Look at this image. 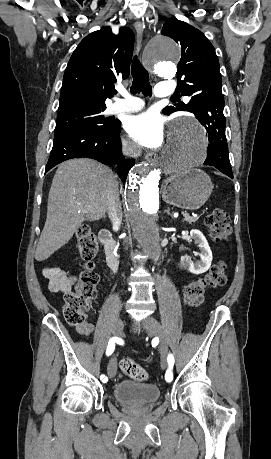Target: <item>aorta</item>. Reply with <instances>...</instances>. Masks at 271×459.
<instances>
[{"label": "aorta", "mask_w": 271, "mask_h": 459, "mask_svg": "<svg viewBox=\"0 0 271 459\" xmlns=\"http://www.w3.org/2000/svg\"><path fill=\"white\" fill-rule=\"evenodd\" d=\"M145 56L156 74L172 78L175 74L174 61L179 58L180 49L170 38L160 36L149 43ZM206 145V136L196 121L190 118L177 120L168 135L163 157L165 168L171 173L182 174L202 165L206 158ZM160 175V169L142 162L130 171L125 188L127 216L133 235L153 259L160 256L157 226Z\"/></svg>", "instance_id": "obj_1"}]
</instances>
